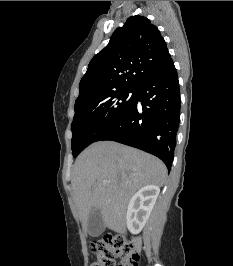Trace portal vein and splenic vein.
Masks as SVG:
<instances>
[{
	"label": "portal vein and splenic vein",
	"mask_w": 233,
	"mask_h": 266,
	"mask_svg": "<svg viewBox=\"0 0 233 266\" xmlns=\"http://www.w3.org/2000/svg\"><path fill=\"white\" fill-rule=\"evenodd\" d=\"M103 182H104V183H107V182H109V181H108V180H104Z\"/></svg>",
	"instance_id": "portal-vein-and-splenic-vein-1"
}]
</instances>
